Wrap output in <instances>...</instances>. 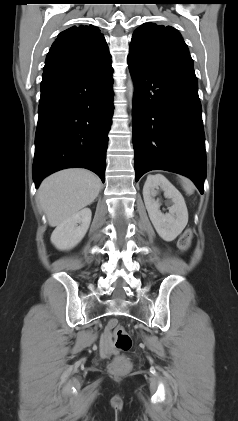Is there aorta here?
<instances>
[{
    "label": "aorta",
    "instance_id": "aorta-1",
    "mask_svg": "<svg viewBox=\"0 0 238 421\" xmlns=\"http://www.w3.org/2000/svg\"><path fill=\"white\" fill-rule=\"evenodd\" d=\"M133 95H134V84H133L132 79L130 78L127 82V96L131 104H132Z\"/></svg>",
    "mask_w": 238,
    "mask_h": 421
}]
</instances>
